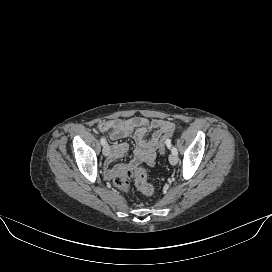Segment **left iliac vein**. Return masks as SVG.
Instances as JSON below:
<instances>
[{
	"label": "left iliac vein",
	"mask_w": 272,
	"mask_h": 272,
	"mask_svg": "<svg viewBox=\"0 0 272 272\" xmlns=\"http://www.w3.org/2000/svg\"><path fill=\"white\" fill-rule=\"evenodd\" d=\"M169 162H170L172 165H176L177 162H178V157H177V155L170 154V155H169Z\"/></svg>",
	"instance_id": "4c4485c4"
}]
</instances>
